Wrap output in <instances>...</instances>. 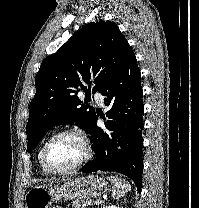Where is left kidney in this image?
Instances as JSON below:
<instances>
[{
  "mask_svg": "<svg viewBox=\"0 0 199 208\" xmlns=\"http://www.w3.org/2000/svg\"><path fill=\"white\" fill-rule=\"evenodd\" d=\"M103 208H120V207L116 206V205H108V206H105Z\"/></svg>",
  "mask_w": 199,
  "mask_h": 208,
  "instance_id": "left-kidney-1",
  "label": "left kidney"
}]
</instances>
